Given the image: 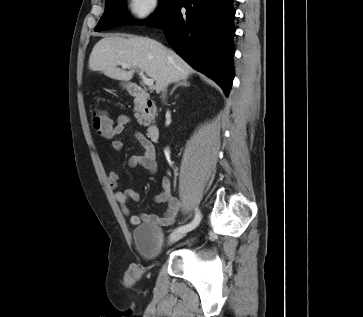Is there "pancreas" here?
I'll list each match as a JSON object with an SVG mask.
<instances>
[{
    "mask_svg": "<svg viewBox=\"0 0 363 317\" xmlns=\"http://www.w3.org/2000/svg\"><path fill=\"white\" fill-rule=\"evenodd\" d=\"M135 117L138 119L139 124L147 126L150 122V117L144 112L141 105H135Z\"/></svg>",
    "mask_w": 363,
    "mask_h": 317,
    "instance_id": "cf45deb5",
    "label": "pancreas"
}]
</instances>
